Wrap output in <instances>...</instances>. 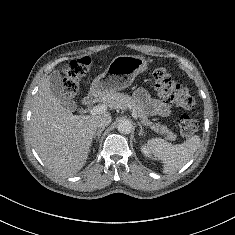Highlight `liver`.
I'll list each match as a JSON object with an SVG mask.
<instances>
[{
	"instance_id": "obj_1",
	"label": "liver",
	"mask_w": 235,
	"mask_h": 235,
	"mask_svg": "<svg viewBox=\"0 0 235 235\" xmlns=\"http://www.w3.org/2000/svg\"><path fill=\"white\" fill-rule=\"evenodd\" d=\"M97 115H73L54 94L50 76L34 97L30 132L44 164L57 174L71 176L85 165L97 129Z\"/></svg>"
}]
</instances>
